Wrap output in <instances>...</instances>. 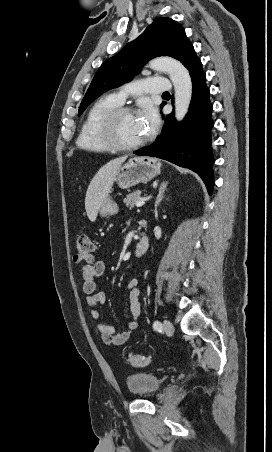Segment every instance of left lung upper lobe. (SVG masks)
<instances>
[{
    "instance_id": "obj_1",
    "label": "left lung upper lobe",
    "mask_w": 272,
    "mask_h": 452,
    "mask_svg": "<svg viewBox=\"0 0 272 452\" xmlns=\"http://www.w3.org/2000/svg\"><path fill=\"white\" fill-rule=\"evenodd\" d=\"M192 47L179 23L170 18L155 19L136 40L100 66L81 102L78 115L104 92L131 80L149 59L170 56L183 62Z\"/></svg>"
}]
</instances>
